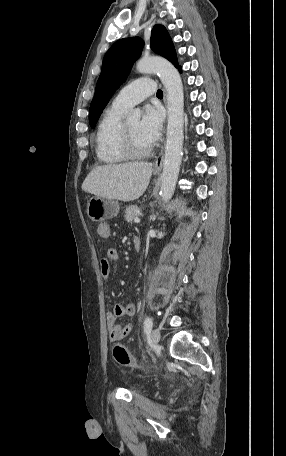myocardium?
Returning a JSON list of instances; mask_svg holds the SVG:
<instances>
[{
  "instance_id": "obj_1",
  "label": "myocardium",
  "mask_w": 286,
  "mask_h": 456,
  "mask_svg": "<svg viewBox=\"0 0 286 456\" xmlns=\"http://www.w3.org/2000/svg\"><path fill=\"white\" fill-rule=\"evenodd\" d=\"M121 144L124 154L129 159L145 158L153 151L154 148V145L152 144L150 147L143 151H137L134 147L131 135L128 131L126 124H123L121 128Z\"/></svg>"
}]
</instances>
